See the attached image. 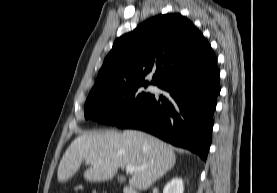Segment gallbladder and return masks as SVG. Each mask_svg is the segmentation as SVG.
Wrapping results in <instances>:
<instances>
[{
	"mask_svg": "<svg viewBox=\"0 0 277 193\" xmlns=\"http://www.w3.org/2000/svg\"><path fill=\"white\" fill-rule=\"evenodd\" d=\"M118 181L119 182H124L125 181V178L123 176H118Z\"/></svg>",
	"mask_w": 277,
	"mask_h": 193,
	"instance_id": "gallbladder-1",
	"label": "gallbladder"
}]
</instances>
